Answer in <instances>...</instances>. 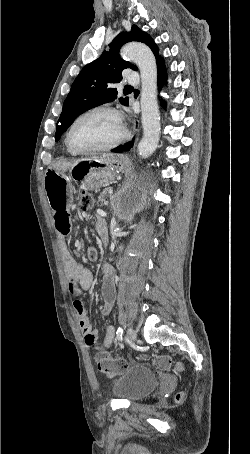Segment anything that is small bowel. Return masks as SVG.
Returning <instances> with one entry per match:
<instances>
[{
    "instance_id": "obj_1",
    "label": "small bowel",
    "mask_w": 250,
    "mask_h": 454,
    "mask_svg": "<svg viewBox=\"0 0 250 454\" xmlns=\"http://www.w3.org/2000/svg\"><path fill=\"white\" fill-rule=\"evenodd\" d=\"M45 191L53 210L55 227L62 236H66L71 228L69 208L77 191L75 179L71 174L51 171L45 178ZM96 229L101 239L105 242L107 239L105 222L99 220L96 224ZM87 255L89 259L94 260L97 258V250L94 247H89ZM62 256L68 276L69 290L74 298L73 307L77 316L79 328L84 335L86 344L93 345L97 339V331L90 323L83 301L84 291L89 290L92 286V273L86 267L76 262L65 247L62 248ZM114 273L115 271L112 265L106 264L103 266L101 279L104 303L100 308V313L102 315H108L114 305ZM114 336V328L108 326L103 341V346L105 348L112 345Z\"/></svg>"
}]
</instances>
